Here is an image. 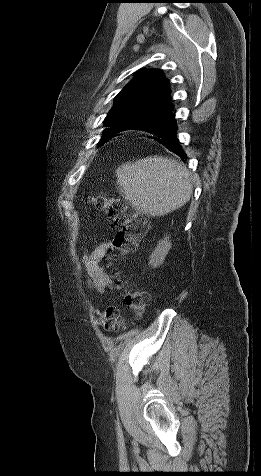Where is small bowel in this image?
<instances>
[{
    "label": "small bowel",
    "mask_w": 261,
    "mask_h": 476,
    "mask_svg": "<svg viewBox=\"0 0 261 476\" xmlns=\"http://www.w3.org/2000/svg\"><path fill=\"white\" fill-rule=\"evenodd\" d=\"M109 243H102L86 256V274L90 287L97 292H104L112 286L108 273L101 267L100 261L105 256Z\"/></svg>",
    "instance_id": "1"
}]
</instances>
